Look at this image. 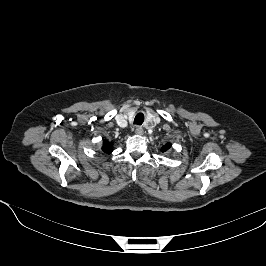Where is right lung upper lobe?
<instances>
[{
	"label": "right lung upper lobe",
	"instance_id": "cb5924a9",
	"mask_svg": "<svg viewBox=\"0 0 266 266\" xmlns=\"http://www.w3.org/2000/svg\"><path fill=\"white\" fill-rule=\"evenodd\" d=\"M112 143L108 142V141H104L103 142V147H102V151L105 153H111L112 152Z\"/></svg>",
	"mask_w": 266,
	"mask_h": 266
}]
</instances>
